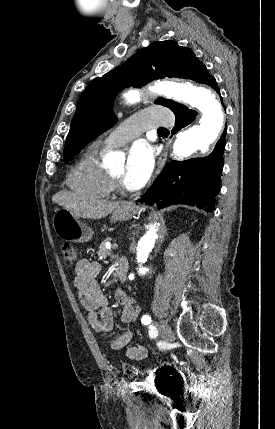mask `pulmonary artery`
Returning <instances> with one entry per match:
<instances>
[{
  "mask_svg": "<svg viewBox=\"0 0 275 429\" xmlns=\"http://www.w3.org/2000/svg\"><path fill=\"white\" fill-rule=\"evenodd\" d=\"M174 121L173 115L163 108H147L128 119L121 127L113 130L103 140L107 147H117L127 143L148 128L170 126Z\"/></svg>",
  "mask_w": 275,
  "mask_h": 429,
  "instance_id": "pulmonary-artery-1",
  "label": "pulmonary artery"
}]
</instances>
